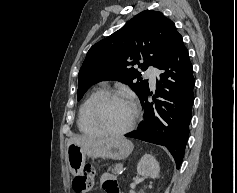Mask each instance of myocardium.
<instances>
[{
  "mask_svg": "<svg viewBox=\"0 0 237 193\" xmlns=\"http://www.w3.org/2000/svg\"><path fill=\"white\" fill-rule=\"evenodd\" d=\"M108 99H121L125 100L128 103H130L133 107V118L131 122L122 130L118 131H111L103 128L97 118V114L99 111V108L101 105ZM140 117V106L138 102L131 96H128L126 94H123L121 92L117 91H104L102 92L92 103L90 110H89V119L92 124V126L95 128V130L102 136H109V137H118L123 136L127 133H129L137 124Z\"/></svg>",
  "mask_w": 237,
  "mask_h": 193,
  "instance_id": "obj_1",
  "label": "myocardium"
}]
</instances>
